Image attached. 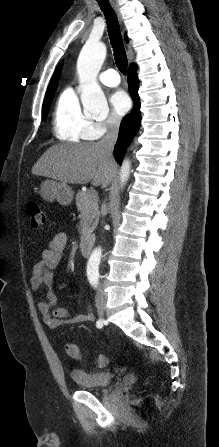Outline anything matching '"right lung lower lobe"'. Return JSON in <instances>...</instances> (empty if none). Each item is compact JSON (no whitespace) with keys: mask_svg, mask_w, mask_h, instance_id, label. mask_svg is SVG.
<instances>
[{"mask_svg":"<svg viewBox=\"0 0 219 447\" xmlns=\"http://www.w3.org/2000/svg\"><path fill=\"white\" fill-rule=\"evenodd\" d=\"M127 76L129 92L135 105L132 111L122 119L120 124L118 140L114 148V156L119 164L123 159L126 148L137 133L141 121L140 101L138 96L139 81L136 74L135 64L129 66Z\"/></svg>","mask_w":219,"mask_h":447,"instance_id":"obj_1","label":"right lung lower lobe"}]
</instances>
